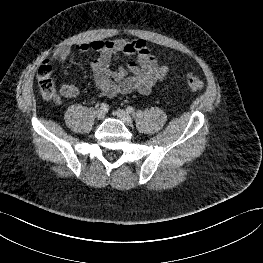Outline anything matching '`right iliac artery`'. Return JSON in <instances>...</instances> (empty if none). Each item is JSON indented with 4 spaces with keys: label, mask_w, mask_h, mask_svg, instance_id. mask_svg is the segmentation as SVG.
<instances>
[{
    "label": "right iliac artery",
    "mask_w": 263,
    "mask_h": 263,
    "mask_svg": "<svg viewBox=\"0 0 263 263\" xmlns=\"http://www.w3.org/2000/svg\"><path fill=\"white\" fill-rule=\"evenodd\" d=\"M100 108L103 109V110H107L108 105H107L106 103H102V104L100 105Z\"/></svg>",
    "instance_id": "right-iliac-artery-1"
}]
</instances>
